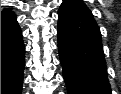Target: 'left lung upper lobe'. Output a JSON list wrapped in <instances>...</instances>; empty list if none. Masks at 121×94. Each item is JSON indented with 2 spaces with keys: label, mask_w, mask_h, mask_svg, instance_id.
<instances>
[{
  "label": "left lung upper lobe",
  "mask_w": 121,
  "mask_h": 94,
  "mask_svg": "<svg viewBox=\"0 0 121 94\" xmlns=\"http://www.w3.org/2000/svg\"><path fill=\"white\" fill-rule=\"evenodd\" d=\"M63 4L67 8H69L75 12H78L82 15L93 17L90 9L86 6V4L83 2V0H64Z\"/></svg>",
  "instance_id": "obj_1"
}]
</instances>
